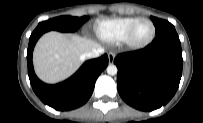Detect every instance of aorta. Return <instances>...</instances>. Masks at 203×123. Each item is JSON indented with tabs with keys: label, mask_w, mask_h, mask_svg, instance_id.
I'll return each mask as SVG.
<instances>
[{
	"label": "aorta",
	"mask_w": 203,
	"mask_h": 123,
	"mask_svg": "<svg viewBox=\"0 0 203 123\" xmlns=\"http://www.w3.org/2000/svg\"><path fill=\"white\" fill-rule=\"evenodd\" d=\"M107 73L109 75H116L117 74V67L114 65V64H110L108 67H107Z\"/></svg>",
	"instance_id": "aorta-1"
}]
</instances>
